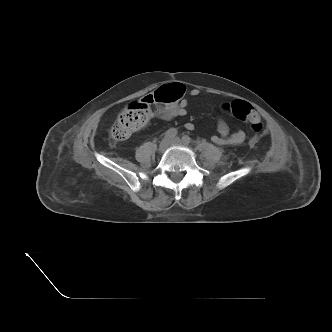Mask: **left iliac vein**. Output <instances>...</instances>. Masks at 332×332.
Segmentation results:
<instances>
[{
  "label": "left iliac vein",
  "instance_id": "4c4485c4",
  "mask_svg": "<svg viewBox=\"0 0 332 332\" xmlns=\"http://www.w3.org/2000/svg\"><path fill=\"white\" fill-rule=\"evenodd\" d=\"M170 144L171 145H174V146H185L187 144H185L184 142H182L179 138H174L170 141Z\"/></svg>",
  "mask_w": 332,
  "mask_h": 332
}]
</instances>
